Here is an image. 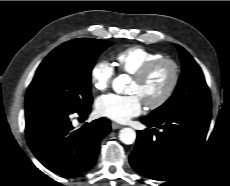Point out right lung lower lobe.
Returning <instances> with one entry per match:
<instances>
[{
  "mask_svg": "<svg viewBox=\"0 0 230 186\" xmlns=\"http://www.w3.org/2000/svg\"><path fill=\"white\" fill-rule=\"evenodd\" d=\"M90 105L79 111L55 107L25 111L28 144L50 171L73 176L88 171L95 164L100 141L111 130L110 121L100 118L79 129H74L70 121L73 113L87 117Z\"/></svg>",
  "mask_w": 230,
  "mask_h": 186,
  "instance_id": "right-lung-lower-lobe-1",
  "label": "right lung lower lobe"
}]
</instances>
